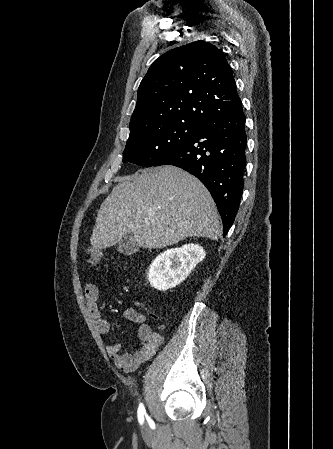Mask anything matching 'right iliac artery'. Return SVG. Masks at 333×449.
Wrapping results in <instances>:
<instances>
[{
    "instance_id": "82829eb1",
    "label": "right iliac artery",
    "mask_w": 333,
    "mask_h": 449,
    "mask_svg": "<svg viewBox=\"0 0 333 449\" xmlns=\"http://www.w3.org/2000/svg\"><path fill=\"white\" fill-rule=\"evenodd\" d=\"M146 414L144 405L141 403L138 408V420L140 423L144 421V415Z\"/></svg>"
}]
</instances>
